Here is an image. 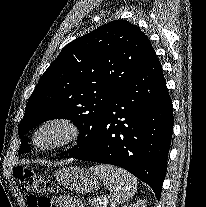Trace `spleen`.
<instances>
[{
  "label": "spleen",
  "instance_id": "spleen-1",
  "mask_svg": "<svg viewBox=\"0 0 206 207\" xmlns=\"http://www.w3.org/2000/svg\"><path fill=\"white\" fill-rule=\"evenodd\" d=\"M90 170L107 186L113 204H123L134 196L138 182L129 172L109 165L92 166Z\"/></svg>",
  "mask_w": 206,
  "mask_h": 207
}]
</instances>
